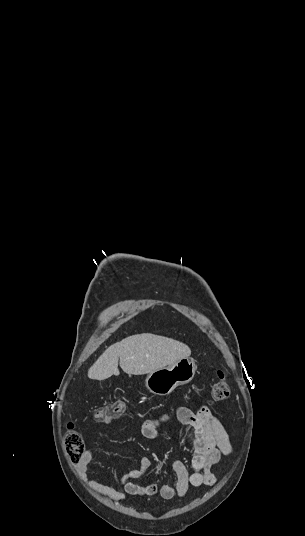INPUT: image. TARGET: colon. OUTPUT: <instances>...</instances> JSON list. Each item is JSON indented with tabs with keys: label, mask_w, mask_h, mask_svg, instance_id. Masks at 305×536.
I'll return each mask as SVG.
<instances>
[{
	"label": "colon",
	"mask_w": 305,
	"mask_h": 536,
	"mask_svg": "<svg viewBox=\"0 0 305 536\" xmlns=\"http://www.w3.org/2000/svg\"><path fill=\"white\" fill-rule=\"evenodd\" d=\"M229 396V384L225 378V374L222 370L219 371V379L214 383L211 390V400L214 403H220L227 399ZM126 403L123 401H116L109 405L99 406L94 413L95 419L100 423H107L108 417L116 419L123 414ZM64 446H68V453L66 458L68 462H80L85 444L84 435H78L71 428L69 433L63 437Z\"/></svg>",
	"instance_id": "colon-1"
}]
</instances>
